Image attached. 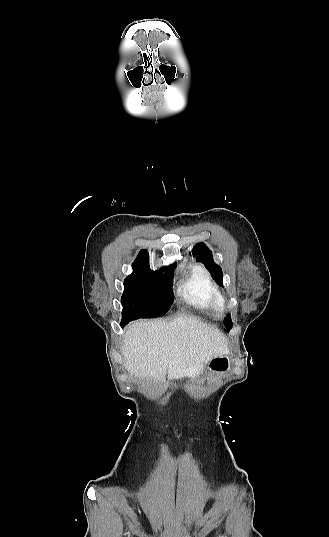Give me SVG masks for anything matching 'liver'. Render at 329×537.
Masks as SVG:
<instances>
[{"label": "liver", "mask_w": 329, "mask_h": 537, "mask_svg": "<svg viewBox=\"0 0 329 537\" xmlns=\"http://www.w3.org/2000/svg\"><path fill=\"white\" fill-rule=\"evenodd\" d=\"M228 354L224 334L197 318L182 315L172 321H139L126 328L122 356L136 377L165 381L193 377L211 359Z\"/></svg>", "instance_id": "1"}]
</instances>
